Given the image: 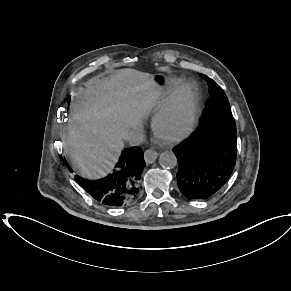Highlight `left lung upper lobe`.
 I'll list each match as a JSON object with an SVG mask.
<instances>
[{
    "label": "left lung upper lobe",
    "mask_w": 291,
    "mask_h": 291,
    "mask_svg": "<svg viewBox=\"0 0 291 291\" xmlns=\"http://www.w3.org/2000/svg\"><path fill=\"white\" fill-rule=\"evenodd\" d=\"M210 86V98L206 104L199 126L204 129H216L236 132V125L225 92L215 81L201 74Z\"/></svg>",
    "instance_id": "5c2ea615"
}]
</instances>
